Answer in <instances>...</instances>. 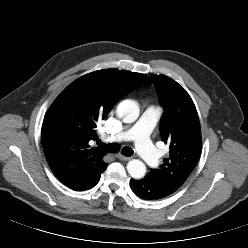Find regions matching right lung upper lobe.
Returning a JSON list of instances; mask_svg holds the SVG:
<instances>
[{
	"label": "right lung upper lobe",
	"mask_w": 248,
	"mask_h": 248,
	"mask_svg": "<svg viewBox=\"0 0 248 248\" xmlns=\"http://www.w3.org/2000/svg\"><path fill=\"white\" fill-rule=\"evenodd\" d=\"M148 85L143 74L104 69L78 78L57 97L44 117L41 140L59 181L77 191L106 169V153L89 145L97 137V122L121 97Z\"/></svg>",
	"instance_id": "obj_1"
}]
</instances>
